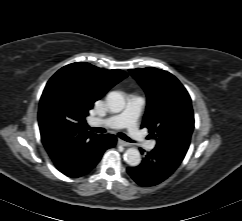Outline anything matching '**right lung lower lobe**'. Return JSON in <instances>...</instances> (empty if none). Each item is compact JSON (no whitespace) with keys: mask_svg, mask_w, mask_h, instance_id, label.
<instances>
[{"mask_svg":"<svg viewBox=\"0 0 242 221\" xmlns=\"http://www.w3.org/2000/svg\"><path fill=\"white\" fill-rule=\"evenodd\" d=\"M116 137L111 134L93 135L74 146L68 156L53 160L56 168L69 177L87 174L100 161L108 148L114 147Z\"/></svg>","mask_w":242,"mask_h":221,"instance_id":"1","label":"right lung lower lobe"}]
</instances>
